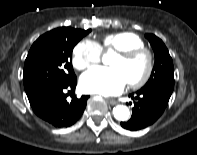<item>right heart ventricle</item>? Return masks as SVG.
<instances>
[{"label": "right heart ventricle", "mask_w": 197, "mask_h": 155, "mask_svg": "<svg viewBox=\"0 0 197 155\" xmlns=\"http://www.w3.org/2000/svg\"><path fill=\"white\" fill-rule=\"evenodd\" d=\"M104 50H123L129 48L144 47L143 39L136 33L121 31L104 36L100 44Z\"/></svg>", "instance_id": "e07e8e85"}]
</instances>
